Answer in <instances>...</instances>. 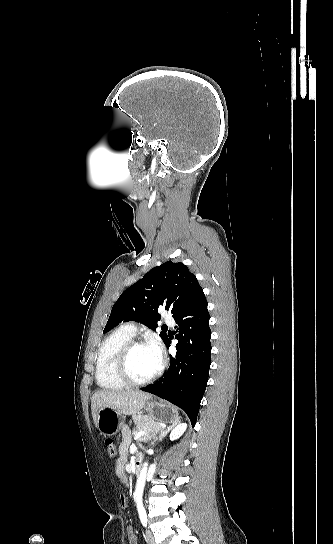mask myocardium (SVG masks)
Segmentation results:
<instances>
[{
  "instance_id": "f54148a6",
  "label": "myocardium",
  "mask_w": 333,
  "mask_h": 544,
  "mask_svg": "<svg viewBox=\"0 0 333 544\" xmlns=\"http://www.w3.org/2000/svg\"><path fill=\"white\" fill-rule=\"evenodd\" d=\"M151 345L148 340H140L132 338L120 350L117 361L116 370L119 378L126 384L134 387L148 385L155 381L163 371V361L161 360L158 369L150 377L144 380L134 379L129 371V358L133 349L137 346Z\"/></svg>"
}]
</instances>
